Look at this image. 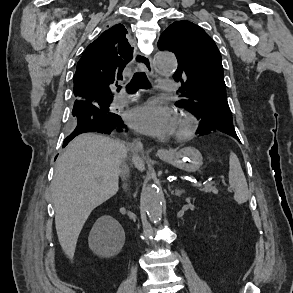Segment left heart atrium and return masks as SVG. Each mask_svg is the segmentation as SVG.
<instances>
[{
	"mask_svg": "<svg viewBox=\"0 0 293 293\" xmlns=\"http://www.w3.org/2000/svg\"><path fill=\"white\" fill-rule=\"evenodd\" d=\"M126 120L137 131L155 137L167 136L175 128V117L171 109L154 101L130 109Z\"/></svg>",
	"mask_w": 293,
	"mask_h": 293,
	"instance_id": "obj_1",
	"label": "left heart atrium"
}]
</instances>
